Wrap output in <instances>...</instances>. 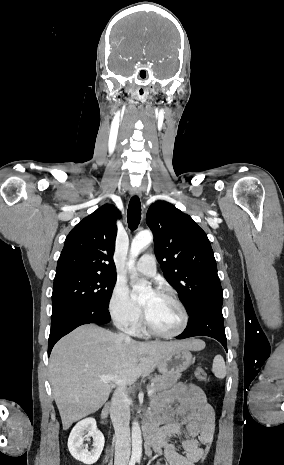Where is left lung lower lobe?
Masks as SVG:
<instances>
[{
    "label": "left lung lower lobe",
    "instance_id": "obj_1",
    "mask_svg": "<svg viewBox=\"0 0 284 465\" xmlns=\"http://www.w3.org/2000/svg\"><path fill=\"white\" fill-rule=\"evenodd\" d=\"M189 316L188 325L178 339L209 336L218 340L227 351L222 305L206 304L195 309Z\"/></svg>",
    "mask_w": 284,
    "mask_h": 465
}]
</instances>
